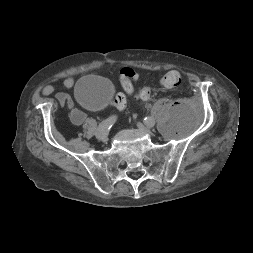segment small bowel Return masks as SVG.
Segmentation results:
<instances>
[{"instance_id": "obj_1", "label": "small bowel", "mask_w": 253, "mask_h": 253, "mask_svg": "<svg viewBox=\"0 0 253 253\" xmlns=\"http://www.w3.org/2000/svg\"><path fill=\"white\" fill-rule=\"evenodd\" d=\"M63 85L66 88H71L74 85V78L72 77L65 78L63 80ZM52 91H53V86L49 85L44 88L43 94L49 95ZM56 98L61 105H64L68 101V96L65 93H58L56 95ZM70 118H71V121L75 125H81L85 121L86 115L78 109H73L71 112Z\"/></svg>"}]
</instances>
